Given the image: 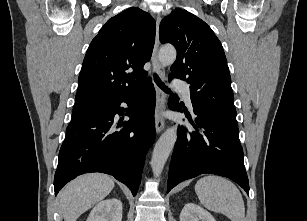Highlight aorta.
Segmentation results:
<instances>
[{
  "mask_svg": "<svg viewBox=\"0 0 307 221\" xmlns=\"http://www.w3.org/2000/svg\"><path fill=\"white\" fill-rule=\"evenodd\" d=\"M176 55V49L173 46H164L159 51V60L163 65H171L175 61ZM176 140L177 128L172 126L156 142L151 158V167L154 176L159 177L162 173Z\"/></svg>",
  "mask_w": 307,
  "mask_h": 221,
  "instance_id": "aorta-1",
  "label": "aorta"
}]
</instances>
